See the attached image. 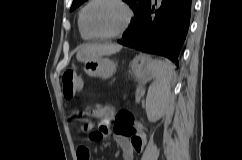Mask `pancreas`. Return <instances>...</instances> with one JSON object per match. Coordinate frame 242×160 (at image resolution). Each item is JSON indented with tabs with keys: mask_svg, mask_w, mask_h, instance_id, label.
<instances>
[{
	"mask_svg": "<svg viewBox=\"0 0 242 160\" xmlns=\"http://www.w3.org/2000/svg\"><path fill=\"white\" fill-rule=\"evenodd\" d=\"M140 97H141V93H140V90L138 89L137 92H136V98L140 99Z\"/></svg>",
	"mask_w": 242,
	"mask_h": 160,
	"instance_id": "cf45deb5",
	"label": "pancreas"
}]
</instances>
